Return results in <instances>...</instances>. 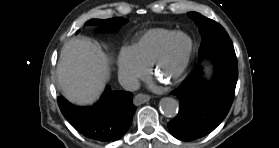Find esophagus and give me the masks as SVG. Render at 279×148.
Masks as SVG:
<instances>
[{"label":"esophagus","instance_id":"obj_1","mask_svg":"<svg viewBox=\"0 0 279 148\" xmlns=\"http://www.w3.org/2000/svg\"><path fill=\"white\" fill-rule=\"evenodd\" d=\"M149 100H150L149 95L140 93L134 97L133 103H134V105L138 106L145 102H148Z\"/></svg>","mask_w":279,"mask_h":148}]
</instances>
